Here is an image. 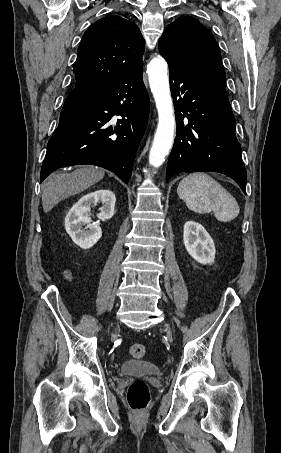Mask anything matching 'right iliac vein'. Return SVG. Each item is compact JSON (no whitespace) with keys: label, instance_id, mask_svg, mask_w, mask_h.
I'll use <instances>...</instances> for the list:
<instances>
[{"label":"right iliac vein","instance_id":"63e3f726","mask_svg":"<svg viewBox=\"0 0 281 453\" xmlns=\"http://www.w3.org/2000/svg\"><path fill=\"white\" fill-rule=\"evenodd\" d=\"M114 325H115V326H114V329H115L116 331H119V330L121 329V326H120L117 322H116Z\"/></svg>","mask_w":281,"mask_h":453}]
</instances>
